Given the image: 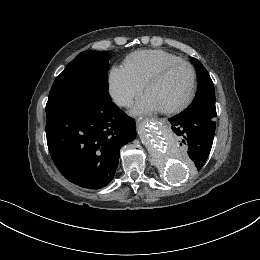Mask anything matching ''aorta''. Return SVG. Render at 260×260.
<instances>
[{
  "label": "aorta",
  "mask_w": 260,
  "mask_h": 260,
  "mask_svg": "<svg viewBox=\"0 0 260 260\" xmlns=\"http://www.w3.org/2000/svg\"><path fill=\"white\" fill-rule=\"evenodd\" d=\"M138 133L156 167L168 181L178 182L188 176L187 163L174 135L152 120L141 124Z\"/></svg>",
  "instance_id": "aorta-1"
}]
</instances>
